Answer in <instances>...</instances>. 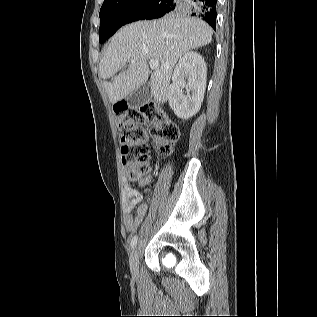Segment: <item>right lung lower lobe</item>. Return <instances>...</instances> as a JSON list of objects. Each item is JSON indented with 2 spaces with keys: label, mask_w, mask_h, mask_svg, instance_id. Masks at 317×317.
Returning a JSON list of instances; mask_svg holds the SVG:
<instances>
[{
  "label": "right lung lower lobe",
  "mask_w": 317,
  "mask_h": 317,
  "mask_svg": "<svg viewBox=\"0 0 317 317\" xmlns=\"http://www.w3.org/2000/svg\"><path fill=\"white\" fill-rule=\"evenodd\" d=\"M176 0H165L160 2L159 6L153 9L146 19H154L164 16L169 13L168 9L172 6ZM183 9L190 12L193 16L201 17L205 20L213 29L216 28V4L217 0H185ZM165 13V14H164Z\"/></svg>",
  "instance_id": "1"
}]
</instances>
